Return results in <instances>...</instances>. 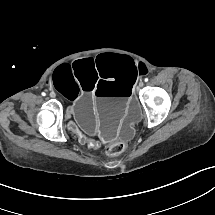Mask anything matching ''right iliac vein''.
<instances>
[{
    "label": "right iliac vein",
    "mask_w": 215,
    "mask_h": 215,
    "mask_svg": "<svg viewBox=\"0 0 215 215\" xmlns=\"http://www.w3.org/2000/svg\"><path fill=\"white\" fill-rule=\"evenodd\" d=\"M50 97L55 98V97H56L55 92H51V93H50Z\"/></svg>",
    "instance_id": "right-iliac-vein-1"
}]
</instances>
